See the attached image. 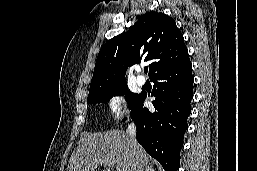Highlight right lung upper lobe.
<instances>
[{
    "label": "right lung upper lobe",
    "mask_w": 257,
    "mask_h": 171,
    "mask_svg": "<svg viewBox=\"0 0 257 171\" xmlns=\"http://www.w3.org/2000/svg\"><path fill=\"white\" fill-rule=\"evenodd\" d=\"M188 58L183 35L174 19L164 13H145L126 33L103 45L89 92L126 83L127 67L141 60L151 61L149 75L152 77L182 64Z\"/></svg>",
    "instance_id": "obj_1"
}]
</instances>
